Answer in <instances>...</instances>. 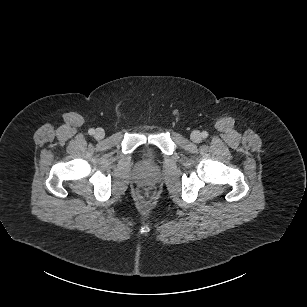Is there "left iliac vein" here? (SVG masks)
<instances>
[{
    "mask_svg": "<svg viewBox=\"0 0 307 307\" xmlns=\"http://www.w3.org/2000/svg\"><path fill=\"white\" fill-rule=\"evenodd\" d=\"M190 138L193 142L199 143L202 140V134L199 131L195 130L191 133Z\"/></svg>",
    "mask_w": 307,
    "mask_h": 307,
    "instance_id": "obj_1",
    "label": "left iliac vein"
}]
</instances>
